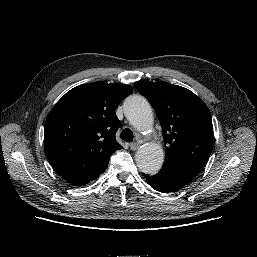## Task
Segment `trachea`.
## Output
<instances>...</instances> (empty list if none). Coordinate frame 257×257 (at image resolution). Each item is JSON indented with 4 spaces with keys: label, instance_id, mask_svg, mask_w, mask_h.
<instances>
[{
    "label": "trachea",
    "instance_id": "3493384b",
    "mask_svg": "<svg viewBox=\"0 0 257 257\" xmlns=\"http://www.w3.org/2000/svg\"><path fill=\"white\" fill-rule=\"evenodd\" d=\"M121 139L126 142H132L133 141V132L129 128H125L120 135Z\"/></svg>",
    "mask_w": 257,
    "mask_h": 257
}]
</instances>
